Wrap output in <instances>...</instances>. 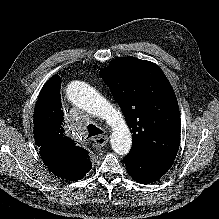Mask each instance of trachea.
Segmentation results:
<instances>
[{
	"label": "trachea",
	"mask_w": 219,
	"mask_h": 219,
	"mask_svg": "<svg viewBox=\"0 0 219 219\" xmlns=\"http://www.w3.org/2000/svg\"><path fill=\"white\" fill-rule=\"evenodd\" d=\"M87 130H88V134H89L88 137L95 136V135H100V134L104 133L100 128H98L94 124L88 125Z\"/></svg>",
	"instance_id": "obj_1"
}]
</instances>
